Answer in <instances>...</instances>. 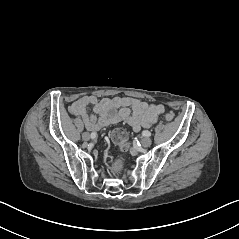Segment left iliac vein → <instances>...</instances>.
Returning <instances> with one entry per match:
<instances>
[{
  "label": "left iliac vein",
  "mask_w": 239,
  "mask_h": 239,
  "mask_svg": "<svg viewBox=\"0 0 239 239\" xmlns=\"http://www.w3.org/2000/svg\"><path fill=\"white\" fill-rule=\"evenodd\" d=\"M151 143H152V140L148 137H145L141 140V145L143 147H149L151 145Z\"/></svg>",
  "instance_id": "1"
}]
</instances>
